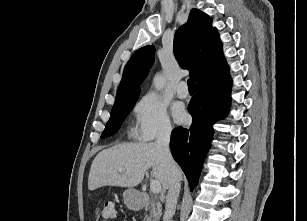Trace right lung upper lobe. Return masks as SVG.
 <instances>
[{"label":"right lung upper lobe","instance_id":"1","mask_svg":"<svg viewBox=\"0 0 307 221\" xmlns=\"http://www.w3.org/2000/svg\"><path fill=\"white\" fill-rule=\"evenodd\" d=\"M154 46L137 50L125 66L115 102L139 95L140 84L154 60ZM174 52L183 68L190 69L196 89L214 85L229 78V70L222 52V43L212 19L193 9L188 21L179 27L174 37Z\"/></svg>","mask_w":307,"mask_h":221}]
</instances>
